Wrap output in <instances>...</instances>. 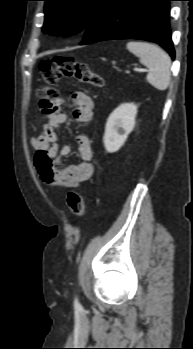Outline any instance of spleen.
<instances>
[{
  "label": "spleen",
  "instance_id": "obj_1",
  "mask_svg": "<svg viewBox=\"0 0 193 349\" xmlns=\"http://www.w3.org/2000/svg\"><path fill=\"white\" fill-rule=\"evenodd\" d=\"M127 49L139 57L140 62L149 69L147 82L160 91L166 90L171 75L169 55L157 45L147 42L130 41Z\"/></svg>",
  "mask_w": 193,
  "mask_h": 349
}]
</instances>
